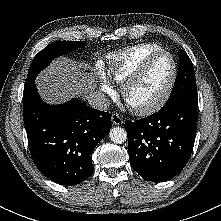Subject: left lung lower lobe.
Returning a JSON list of instances; mask_svg holds the SVG:
<instances>
[{"instance_id":"obj_1","label":"left lung lower lobe","mask_w":221,"mask_h":221,"mask_svg":"<svg viewBox=\"0 0 221 221\" xmlns=\"http://www.w3.org/2000/svg\"><path fill=\"white\" fill-rule=\"evenodd\" d=\"M197 98H184L140 120L126 121L129 158L145 180L164 182L188 162L197 130Z\"/></svg>"}]
</instances>
